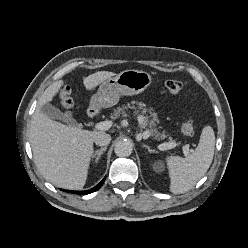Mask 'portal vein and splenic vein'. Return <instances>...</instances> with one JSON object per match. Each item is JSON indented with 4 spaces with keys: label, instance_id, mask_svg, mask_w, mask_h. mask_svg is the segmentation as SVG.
Segmentation results:
<instances>
[{
    "label": "portal vein and splenic vein",
    "instance_id": "1",
    "mask_svg": "<svg viewBox=\"0 0 248 248\" xmlns=\"http://www.w3.org/2000/svg\"><path fill=\"white\" fill-rule=\"evenodd\" d=\"M112 125H113V122L110 121V120H108V121H103V122L97 123V124L95 125V128H96L97 130L105 131V130L110 129V128L112 127ZM141 136H142L144 139H147V138L150 136V134H149L148 131H144V132L142 133ZM176 146H177V144H176L175 142H168V143L160 144V145L158 146V148H159L160 150H166V149L174 148V147H176ZM183 150H184V153H185L186 155L189 153V148H188V146H184V147H183Z\"/></svg>",
    "mask_w": 248,
    "mask_h": 248
}]
</instances>
